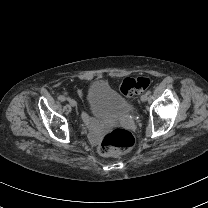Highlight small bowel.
I'll return each instance as SVG.
<instances>
[{
    "label": "small bowel",
    "instance_id": "1",
    "mask_svg": "<svg viewBox=\"0 0 208 208\" xmlns=\"http://www.w3.org/2000/svg\"><path fill=\"white\" fill-rule=\"evenodd\" d=\"M62 92L66 94V96L71 97L73 94H76L77 98L80 99V119L83 121L89 135L92 138L97 139L100 137L101 132L108 129L111 125L112 119L109 116L104 117L103 121H101L97 128H95L94 123L92 122L91 118H89V96L85 91L81 89L80 83L74 80H67L63 82L61 87ZM64 115L69 116L72 113L71 108L66 107L63 110Z\"/></svg>",
    "mask_w": 208,
    "mask_h": 208
}]
</instances>
